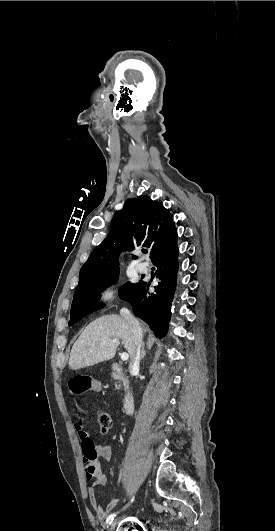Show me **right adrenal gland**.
Segmentation results:
<instances>
[{
  "mask_svg": "<svg viewBox=\"0 0 275 531\" xmlns=\"http://www.w3.org/2000/svg\"><path fill=\"white\" fill-rule=\"evenodd\" d=\"M147 351H145V343H142V349H141V355H140V361L141 359H144Z\"/></svg>",
  "mask_w": 275,
  "mask_h": 531,
  "instance_id": "obj_1",
  "label": "right adrenal gland"
}]
</instances>
